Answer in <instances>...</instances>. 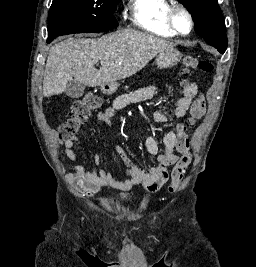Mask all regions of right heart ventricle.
I'll use <instances>...</instances> for the list:
<instances>
[{
    "label": "right heart ventricle",
    "instance_id": "e07e8e85",
    "mask_svg": "<svg viewBox=\"0 0 256 267\" xmlns=\"http://www.w3.org/2000/svg\"><path fill=\"white\" fill-rule=\"evenodd\" d=\"M162 0H138L137 7L148 12L149 15L141 20L136 21L139 28L144 29V33L148 36H176L168 22L169 8L160 6Z\"/></svg>",
    "mask_w": 256,
    "mask_h": 267
}]
</instances>
